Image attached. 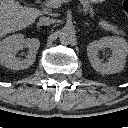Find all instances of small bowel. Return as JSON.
<instances>
[{
    "instance_id": "small-bowel-1",
    "label": "small bowel",
    "mask_w": 128,
    "mask_h": 128,
    "mask_svg": "<svg viewBox=\"0 0 128 128\" xmlns=\"http://www.w3.org/2000/svg\"><path fill=\"white\" fill-rule=\"evenodd\" d=\"M105 0H90V2L92 3H102L104 2Z\"/></svg>"
}]
</instances>
